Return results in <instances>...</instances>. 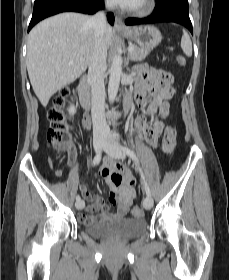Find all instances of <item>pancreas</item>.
<instances>
[{
  "mask_svg": "<svg viewBox=\"0 0 229 280\" xmlns=\"http://www.w3.org/2000/svg\"><path fill=\"white\" fill-rule=\"evenodd\" d=\"M134 51L129 53L130 59L133 61H142L150 53L151 49L139 48L136 45H132Z\"/></svg>",
  "mask_w": 229,
  "mask_h": 280,
  "instance_id": "obj_1",
  "label": "pancreas"
}]
</instances>
